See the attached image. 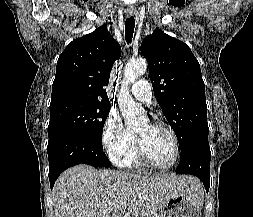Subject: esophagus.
I'll list each match as a JSON object with an SVG mask.
<instances>
[{"instance_id":"obj_1","label":"esophagus","mask_w":253,"mask_h":217,"mask_svg":"<svg viewBox=\"0 0 253 217\" xmlns=\"http://www.w3.org/2000/svg\"><path fill=\"white\" fill-rule=\"evenodd\" d=\"M135 14V9L131 8L127 10V15L128 16H133Z\"/></svg>"}]
</instances>
